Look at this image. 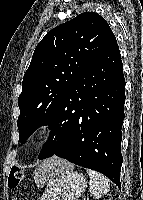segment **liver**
I'll return each instance as SVG.
<instances>
[{"label": "liver", "mask_w": 143, "mask_h": 200, "mask_svg": "<svg viewBox=\"0 0 143 200\" xmlns=\"http://www.w3.org/2000/svg\"><path fill=\"white\" fill-rule=\"evenodd\" d=\"M72 165L63 159L53 156L41 163L34 173V180L37 186L43 185L49 181V178L56 172L64 168H70Z\"/></svg>", "instance_id": "6515ba94"}]
</instances>
